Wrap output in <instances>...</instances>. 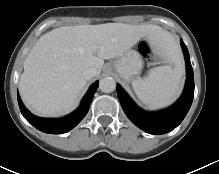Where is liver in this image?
Instances as JSON below:
<instances>
[{
  "instance_id": "1",
  "label": "liver",
  "mask_w": 219,
  "mask_h": 174,
  "mask_svg": "<svg viewBox=\"0 0 219 174\" xmlns=\"http://www.w3.org/2000/svg\"><path fill=\"white\" fill-rule=\"evenodd\" d=\"M148 37L158 50H173L171 37L154 25L105 23L56 28L41 36L24 61L19 81L25 104L39 116L70 112L86 85V68L101 73L104 59L122 56Z\"/></svg>"
}]
</instances>
